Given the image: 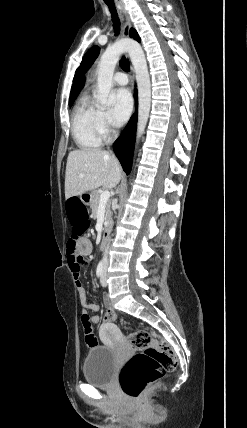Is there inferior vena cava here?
<instances>
[{
  "instance_id": "1",
  "label": "inferior vena cava",
  "mask_w": 247,
  "mask_h": 428,
  "mask_svg": "<svg viewBox=\"0 0 247 428\" xmlns=\"http://www.w3.org/2000/svg\"><path fill=\"white\" fill-rule=\"evenodd\" d=\"M103 264L104 266H108V246L106 247L103 254Z\"/></svg>"
}]
</instances>
